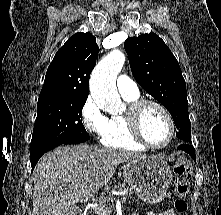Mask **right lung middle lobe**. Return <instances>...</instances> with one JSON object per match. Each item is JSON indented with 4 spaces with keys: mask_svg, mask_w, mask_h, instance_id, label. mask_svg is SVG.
Here are the masks:
<instances>
[{
    "mask_svg": "<svg viewBox=\"0 0 221 215\" xmlns=\"http://www.w3.org/2000/svg\"><path fill=\"white\" fill-rule=\"evenodd\" d=\"M87 98H55L38 102L31 154L47 146L88 136L80 119Z\"/></svg>",
    "mask_w": 221,
    "mask_h": 215,
    "instance_id": "obj_1",
    "label": "right lung middle lobe"
}]
</instances>
